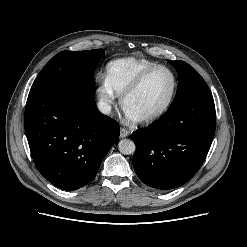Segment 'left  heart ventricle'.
Here are the masks:
<instances>
[{"label":"left heart ventricle","instance_id":"b2bd125f","mask_svg":"<svg viewBox=\"0 0 247 247\" xmlns=\"http://www.w3.org/2000/svg\"><path fill=\"white\" fill-rule=\"evenodd\" d=\"M172 87V78L167 72L152 73L126 101L127 111L138 116L159 109L168 100Z\"/></svg>","mask_w":247,"mask_h":247}]
</instances>
